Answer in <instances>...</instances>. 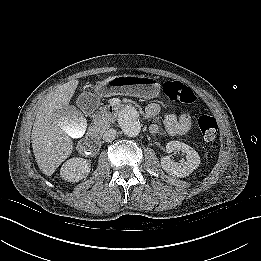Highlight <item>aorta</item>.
<instances>
[{"mask_svg": "<svg viewBox=\"0 0 261 261\" xmlns=\"http://www.w3.org/2000/svg\"><path fill=\"white\" fill-rule=\"evenodd\" d=\"M119 124L123 132L129 137H136L141 131L138 111L131 106L125 107L120 112Z\"/></svg>", "mask_w": 261, "mask_h": 261, "instance_id": "obj_1", "label": "aorta"}]
</instances>
